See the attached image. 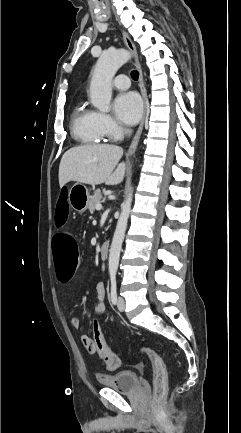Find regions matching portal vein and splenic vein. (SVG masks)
Masks as SVG:
<instances>
[{"label": "portal vein and splenic vein", "instance_id": "obj_1", "mask_svg": "<svg viewBox=\"0 0 241 433\" xmlns=\"http://www.w3.org/2000/svg\"><path fill=\"white\" fill-rule=\"evenodd\" d=\"M102 209V205L101 204H97L96 205V210H101Z\"/></svg>", "mask_w": 241, "mask_h": 433}]
</instances>
